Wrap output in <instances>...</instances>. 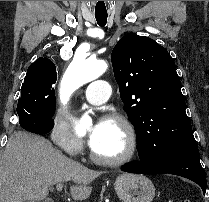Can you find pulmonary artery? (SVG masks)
I'll use <instances>...</instances> for the list:
<instances>
[{"label":"pulmonary artery","instance_id":"pulmonary-artery-1","mask_svg":"<svg viewBox=\"0 0 209 202\" xmlns=\"http://www.w3.org/2000/svg\"><path fill=\"white\" fill-rule=\"evenodd\" d=\"M112 89V85L104 80H94L85 88L87 101L93 105L103 104Z\"/></svg>","mask_w":209,"mask_h":202}]
</instances>
